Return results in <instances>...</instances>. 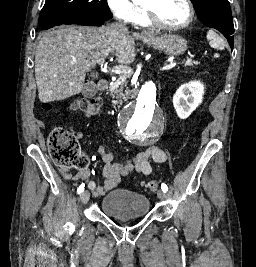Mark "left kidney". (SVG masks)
<instances>
[{
    "instance_id": "left-kidney-1",
    "label": "left kidney",
    "mask_w": 256,
    "mask_h": 267,
    "mask_svg": "<svg viewBox=\"0 0 256 267\" xmlns=\"http://www.w3.org/2000/svg\"><path fill=\"white\" fill-rule=\"evenodd\" d=\"M203 94L204 86L201 82L182 84L173 96V106L178 118H181V120L188 118L196 110L197 106L201 104Z\"/></svg>"
}]
</instances>
